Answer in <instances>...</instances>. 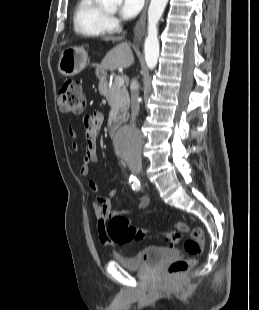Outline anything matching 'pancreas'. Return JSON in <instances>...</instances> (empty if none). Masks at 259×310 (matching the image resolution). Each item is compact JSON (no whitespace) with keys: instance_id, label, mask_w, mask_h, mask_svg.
<instances>
[{"instance_id":"pancreas-1","label":"pancreas","mask_w":259,"mask_h":310,"mask_svg":"<svg viewBox=\"0 0 259 310\" xmlns=\"http://www.w3.org/2000/svg\"><path fill=\"white\" fill-rule=\"evenodd\" d=\"M99 92L106 97L111 110L108 122H119L126 118L129 106V95L126 88L109 86L105 78L99 81Z\"/></svg>"}]
</instances>
